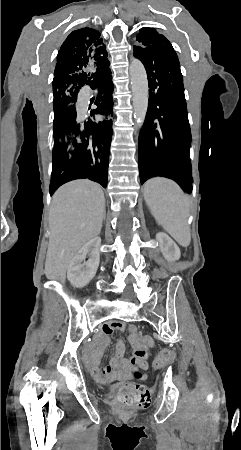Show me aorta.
Segmentation results:
<instances>
[{"label": "aorta", "mask_w": 241, "mask_h": 450, "mask_svg": "<svg viewBox=\"0 0 241 450\" xmlns=\"http://www.w3.org/2000/svg\"><path fill=\"white\" fill-rule=\"evenodd\" d=\"M129 72L135 123L138 128H142L146 118L149 100L147 74L144 65L138 59L132 60Z\"/></svg>", "instance_id": "aorta-1"}]
</instances>
